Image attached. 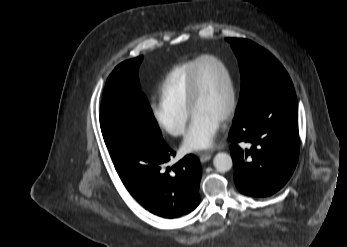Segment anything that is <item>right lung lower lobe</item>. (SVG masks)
Returning <instances> with one entry per match:
<instances>
[{
	"mask_svg": "<svg viewBox=\"0 0 347 247\" xmlns=\"http://www.w3.org/2000/svg\"><path fill=\"white\" fill-rule=\"evenodd\" d=\"M105 143L124 186L145 209L177 218L198 206L201 167L194 155L168 167L175 153L163 138L153 140L134 127L117 130Z\"/></svg>",
	"mask_w": 347,
	"mask_h": 247,
	"instance_id": "1",
	"label": "right lung lower lobe"
}]
</instances>
